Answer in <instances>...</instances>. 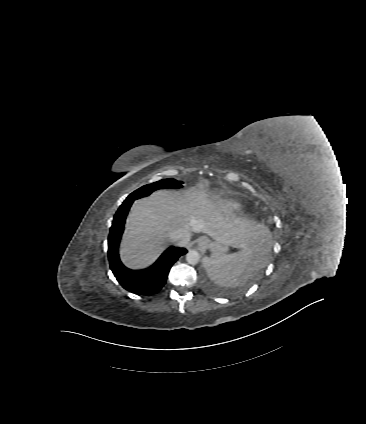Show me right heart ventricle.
<instances>
[{
	"label": "right heart ventricle",
	"instance_id": "obj_1",
	"mask_svg": "<svg viewBox=\"0 0 366 424\" xmlns=\"http://www.w3.org/2000/svg\"><path fill=\"white\" fill-rule=\"evenodd\" d=\"M220 209L224 214L232 215L239 211L240 205L232 200H227L221 203Z\"/></svg>",
	"mask_w": 366,
	"mask_h": 424
}]
</instances>
